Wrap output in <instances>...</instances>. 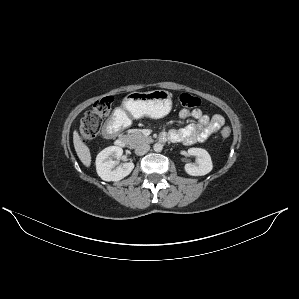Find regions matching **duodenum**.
Instances as JSON below:
<instances>
[{
	"mask_svg": "<svg viewBox=\"0 0 299 299\" xmlns=\"http://www.w3.org/2000/svg\"><path fill=\"white\" fill-rule=\"evenodd\" d=\"M118 129V124L114 120H110L104 127L103 134L106 138H112L114 137L115 133L117 132ZM167 136L166 135H161L160 136V141H166ZM115 144L116 146L120 148H124L127 146V139L126 137H117L115 139Z\"/></svg>",
	"mask_w": 299,
	"mask_h": 299,
	"instance_id": "1",
	"label": "duodenum"
}]
</instances>
